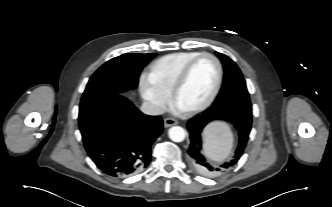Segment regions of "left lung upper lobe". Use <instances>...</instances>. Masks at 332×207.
<instances>
[{
    "label": "left lung upper lobe",
    "instance_id": "left-lung-upper-lobe-1",
    "mask_svg": "<svg viewBox=\"0 0 332 207\" xmlns=\"http://www.w3.org/2000/svg\"><path fill=\"white\" fill-rule=\"evenodd\" d=\"M216 55L222 61L225 74L221 91L213 105L232 100L250 101L240 69L228 56L218 52H216Z\"/></svg>",
    "mask_w": 332,
    "mask_h": 207
}]
</instances>
